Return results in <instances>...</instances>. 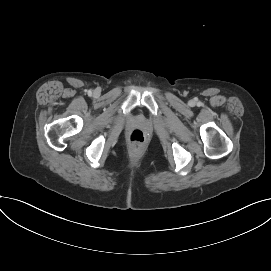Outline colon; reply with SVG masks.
<instances>
[{"mask_svg":"<svg viewBox=\"0 0 271 271\" xmlns=\"http://www.w3.org/2000/svg\"><path fill=\"white\" fill-rule=\"evenodd\" d=\"M146 137L145 134L139 130H133L129 135V141L134 147H141L145 143Z\"/></svg>","mask_w":271,"mask_h":271,"instance_id":"obj_1","label":"colon"}]
</instances>
